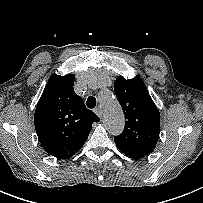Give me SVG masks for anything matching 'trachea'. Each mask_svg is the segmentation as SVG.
Returning <instances> with one entry per match:
<instances>
[{"mask_svg":"<svg viewBox=\"0 0 203 203\" xmlns=\"http://www.w3.org/2000/svg\"><path fill=\"white\" fill-rule=\"evenodd\" d=\"M87 107L90 109L95 108L96 106V98L93 96H89L87 101H86Z\"/></svg>","mask_w":203,"mask_h":203,"instance_id":"3493384b","label":"trachea"}]
</instances>
